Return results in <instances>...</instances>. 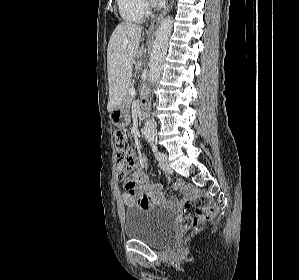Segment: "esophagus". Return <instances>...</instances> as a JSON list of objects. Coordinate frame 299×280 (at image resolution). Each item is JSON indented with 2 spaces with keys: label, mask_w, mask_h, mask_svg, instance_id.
Wrapping results in <instances>:
<instances>
[{
  "label": "esophagus",
  "mask_w": 299,
  "mask_h": 280,
  "mask_svg": "<svg viewBox=\"0 0 299 280\" xmlns=\"http://www.w3.org/2000/svg\"><path fill=\"white\" fill-rule=\"evenodd\" d=\"M174 3V0H170L168 5L166 6V8L162 11L161 14H159L149 25L148 27V32H154L155 29L158 27L159 23L161 22V20L164 18V16L169 12V10L171 9L172 5Z\"/></svg>",
  "instance_id": "34e87169"
}]
</instances>
